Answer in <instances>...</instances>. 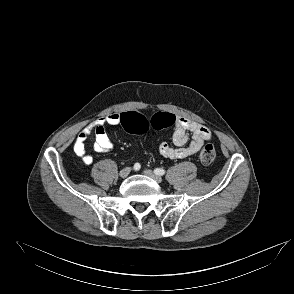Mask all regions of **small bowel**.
<instances>
[{
	"instance_id": "1",
	"label": "small bowel",
	"mask_w": 294,
	"mask_h": 294,
	"mask_svg": "<svg viewBox=\"0 0 294 294\" xmlns=\"http://www.w3.org/2000/svg\"><path fill=\"white\" fill-rule=\"evenodd\" d=\"M121 123V114L111 113L100 117L81 130L74 143V152L86 165L93 163V157L87 154L86 140L95 135L94 151L98 153L108 152L113 148L112 141L105 131L106 125H118ZM175 127L172 135L174 147L166 142L159 145L161 156L168 159H182L196 154L203 146L204 141L211 138V131L204 125L185 117L175 118Z\"/></svg>"
}]
</instances>
